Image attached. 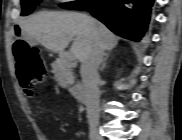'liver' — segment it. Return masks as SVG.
<instances>
[{
	"label": "liver",
	"instance_id": "liver-1",
	"mask_svg": "<svg viewBox=\"0 0 182 140\" xmlns=\"http://www.w3.org/2000/svg\"><path fill=\"white\" fill-rule=\"evenodd\" d=\"M22 36L60 52L73 41L70 51L83 62L94 46L103 51L116 47L118 37L98 20L77 12L36 13L19 24Z\"/></svg>",
	"mask_w": 182,
	"mask_h": 140
}]
</instances>
